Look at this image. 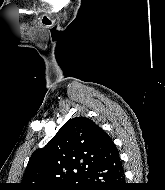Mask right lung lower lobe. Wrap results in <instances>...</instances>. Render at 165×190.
Masks as SVG:
<instances>
[{
  "mask_svg": "<svg viewBox=\"0 0 165 190\" xmlns=\"http://www.w3.org/2000/svg\"><path fill=\"white\" fill-rule=\"evenodd\" d=\"M119 153L86 171L79 190H126Z\"/></svg>",
  "mask_w": 165,
  "mask_h": 190,
  "instance_id": "98d812e1",
  "label": "right lung lower lobe"
}]
</instances>
